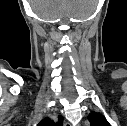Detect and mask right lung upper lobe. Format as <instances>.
<instances>
[{
	"mask_svg": "<svg viewBox=\"0 0 127 126\" xmlns=\"http://www.w3.org/2000/svg\"><path fill=\"white\" fill-rule=\"evenodd\" d=\"M63 118L59 116L58 123H54L50 118H44L42 121L38 123L37 126H62Z\"/></svg>",
	"mask_w": 127,
	"mask_h": 126,
	"instance_id": "cb5924a9",
	"label": "right lung upper lobe"
}]
</instances>
